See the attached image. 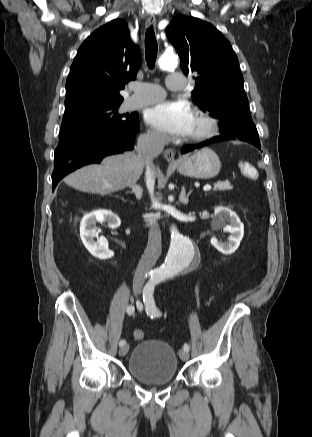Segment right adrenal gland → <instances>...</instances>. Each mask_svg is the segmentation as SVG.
Instances as JSON below:
<instances>
[{"label":"right adrenal gland","instance_id":"2a0ac1e0","mask_svg":"<svg viewBox=\"0 0 312 437\" xmlns=\"http://www.w3.org/2000/svg\"><path fill=\"white\" fill-rule=\"evenodd\" d=\"M131 189H132L131 191H127L126 193L129 192L134 193L137 200H140L143 194L142 187L139 184L135 183L133 186H131Z\"/></svg>","mask_w":312,"mask_h":437}]
</instances>
